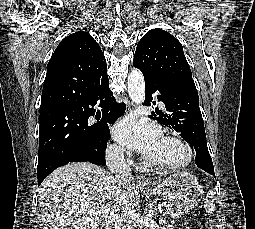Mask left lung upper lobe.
<instances>
[{"label":"left lung upper lobe","instance_id":"5c2ea615","mask_svg":"<svg viewBox=\"0 0 255 229\" xmlns=\"http://www.w3.org/2000/svg\"><path fill=\"white\" fill-rule=\"evenodd\" d=\"M133 65L144 76L174 80L196 90L181 43L162 29L150 30L143 36L137 45ZM181 136L192 145L189 135Z\"/></svg>","mask_w":255,"mask_h":229}]
</instances>
